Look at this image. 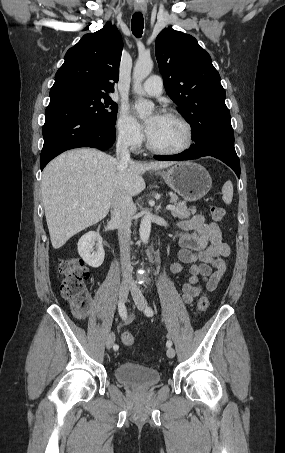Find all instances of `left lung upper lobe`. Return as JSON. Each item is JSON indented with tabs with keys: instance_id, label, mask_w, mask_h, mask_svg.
I'll return each mask as SVG.
<instances>
[{
	"instance_id": "5c2ea615",
	"label": "left lung upper lobe",
	"mask_w": 285,
	"mask_h": 453,
	"mask_svg": "<svg viewBox=\"0 0 285 453\" xmlns=\"http://www.w3.org/2000/svg\"><path fill=\"white\" fill-rule=\"evenodd\" d=\"M155 54L170 99L192 127V139L214 129L232 130L226 93L210 55L191 35L166 28Z\"/></svg>"
}]
</instances>
